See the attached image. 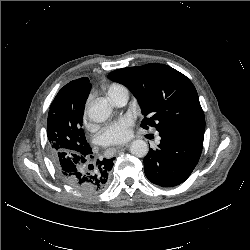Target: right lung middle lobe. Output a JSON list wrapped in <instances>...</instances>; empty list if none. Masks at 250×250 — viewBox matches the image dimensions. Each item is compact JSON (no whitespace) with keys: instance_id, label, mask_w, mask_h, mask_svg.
<instances>
[{"instance_id":"obj_1","label":"right lung middle lobe","mask_w":250,"mask_h":250,"mask_svg":"<svg viewBox=\"0 0 250 250\" xmlns=\"http://www.w3.org/2000/svg\"><path fill=\"white\" fill-rule=\"evenodd\" d=\"M84 104L76 113L61 100H53L47 121L48 145L52 158L59 152L82 154L89 148L82 126Z\"/></svg>"}]
</instances>
